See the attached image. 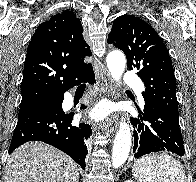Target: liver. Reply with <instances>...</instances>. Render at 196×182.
<instances>
[{
  "label": "liver",
  "mask_w": 196,
  "mask_h": 182,
  "mask_svg": "<svg viewBox=\"0 0 196 182\" xmlns=\"http://www.w3.org/2000/svg\"><path fill=\"white\" fill-rule=\"evenodd\" d=\"M78 177L68 155L38 141L18 147L6 163V182H76Z\"/></svg>",
  "instance_id": "1"
}]
</instances>
